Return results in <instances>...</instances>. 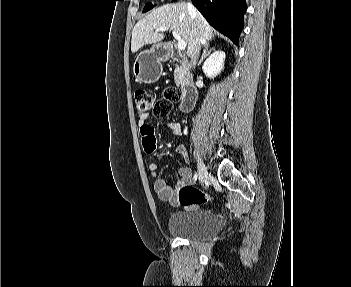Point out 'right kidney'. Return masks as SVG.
I'll list each match as a JSON object with an SVG mask.
<instances>
[{"instance_id": "1", "label": "right kidney", "mask_w": 351, "mask_h": 287, "mask_svg": "<svg viewBox=\"0 0 351 287\" xmlns=\"http://www.w3.org/2000/svg\"><path fill=\"white\" fill-rule=\"evenodd\" d=\"M225 52L215 51L204 62L202 70L208 78L216 77L224 67Z\"/></svg>"}]
</instances>
